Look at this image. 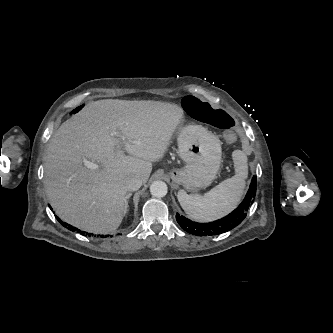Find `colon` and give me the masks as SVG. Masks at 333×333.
Masks as SVG:
<instances>
[{"label":"colon","mask_w":333,"mask_h":333,"mask_svg":"<svg viewBox=\"0 0 333 333\" xmlns=\"http://www.w3.org/2000/svg\"><path fill=\"white\" fill-rule=\"evenodd\" d=\"M182 105L187 113L194 119L222 130H232L234 121L224 110L214 108L209 102L199 97L186 96ZM83 106H79L72 113H79Z\"/></svg>","instance_id":"1"}]
</instances>
